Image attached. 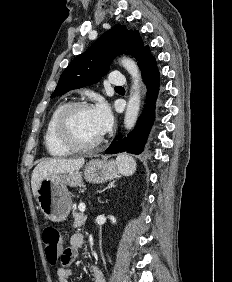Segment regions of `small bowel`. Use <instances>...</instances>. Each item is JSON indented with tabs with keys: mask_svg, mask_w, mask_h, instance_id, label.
Here are the masks:
<instances>
[{
	"mask_svg": "<svg viewBox=\"0 0 232 282\" xmlns=\"http://www.w3.org/2000/svg\"><path fill=\"white\" fill-rule=\"evenodd\" d=\"M85 235L82 233H75L71 236L70 246L66 249L65 256L61 260V266L57 270L58 282H69L73 271L71 264L78 256L79 249L85 243ZM90 272L93 276V282H106L101 270L94 264L90 265Z\"/></svg>",
	"mask_w": 232,
	"mask_h": 282,
	"instance_id": "c3829d8e",
	"label": "small bowel"
}]
</instances>
